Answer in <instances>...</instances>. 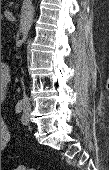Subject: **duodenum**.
Returning a JSON list of instances; mask_svg holds the SVG:
<instances>
[{
  "label": "duodenum",
  "instance_id": "obj_1",
  "mask_svg": "<svg viewBox=\"0 0 109 170\" xmlns=\"http://www.w3.org/2000/svg\"><path fill=\"white\" fill-rule=\"evenodd\" d=\"M10 81V66L7 62L1 63V91H6Z\"/></svg>",
  "mask_w": 109,
  "mask_h": 170
}]
</instances>
